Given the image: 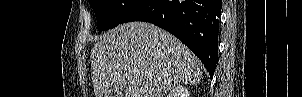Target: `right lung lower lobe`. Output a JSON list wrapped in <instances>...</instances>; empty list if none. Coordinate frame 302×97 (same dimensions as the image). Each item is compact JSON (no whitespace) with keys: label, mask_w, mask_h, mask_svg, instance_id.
Segmentation results:
<instances>
[{"label":"right lung lower lobe","mask_w":302,"mask_h":97,"mask_svg":"<svg viewBox=\"0 0 302 97\" xmlns=\"http://www.w3.org/2000/svg\"><path fill=\"white\" fill-rule=\"evenodd\" d=\"M221 6V0H142L122 23L145 21L167 30L197 55L212 79L218 57Z\"/></svg>","instance_id":"obj_1"}]
</instances>
